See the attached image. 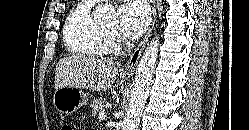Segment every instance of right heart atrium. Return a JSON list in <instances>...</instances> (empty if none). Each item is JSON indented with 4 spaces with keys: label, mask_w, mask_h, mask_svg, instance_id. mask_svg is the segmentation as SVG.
Segmentation results:
<instances>
[{
    "label": "right heart atrium",
    "mask_w": 249,
    "mask_h": 130,
    "mask_svg": "<svg viewBox=\"0 0 249 130\" xmlns=\"http://www.w3.org/2000/svg\"><path fill=\"white\" fill-rule=\"evenodd\" d=\"M109 42L113 50H118L122 44L120 36L115 32L109 33Z\"/></svg>",
    "instance_id": "right-heart-atrium-1"
}]
</instances>
